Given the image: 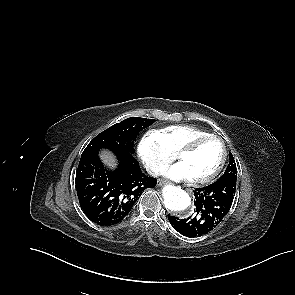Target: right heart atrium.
Returning <instances> with one entry per match:
<instances>
[{
  "instance_id": "right-heart-atrium-1",
  "label": "right heart atrium",
  "mask_w": 295,
  "mask_h": 295,
  "mask_svg": "<svg viewBox=\"0 0 295 295\" xmlns=\"http://www.w3.org/2000/svg\"><path fill=\"white\" fill-rule=\"evenodd\" d=\"M137 153L145 169L152 176L159 175L173 159L172 153L164 147L156 131H149L143 135Z\"/></svg>"
}]
</instances>
